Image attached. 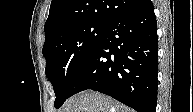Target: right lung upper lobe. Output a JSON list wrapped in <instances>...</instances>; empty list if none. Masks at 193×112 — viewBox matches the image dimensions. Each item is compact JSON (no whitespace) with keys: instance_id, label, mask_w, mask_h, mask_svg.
Segmentation results:
<instances>
[{"instance_id":"cb5924a9","label":"right lung upper lobe","mask_w":193,"mask_h":112,"mask_svg":"<svg viewBox=\"0 0 193 112\" xmlns=\"http://www.w3.org/2000/svg\"><path fill=\"white\" fill-rule=\"evenodd\" d=\"M142 0H52L44 26L46 41L59 31L80 23L108 26Z\"/></svg>"}]
</instances>
